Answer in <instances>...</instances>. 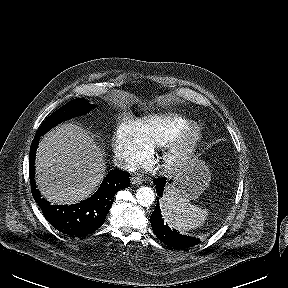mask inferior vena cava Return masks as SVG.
<instances>
[{"instance_id": "602c4592", "label": "inferior vena cava", "mask_w": 288, "mask_h": 288, "mask_svg": "<svg viewBox=\"0 0 288 288\" xmlns=\"http://www.w3.org/2000/svg\"><path fill=\"white\" fill-rule=\"evenodd\" d=\"M114 164L122 170L128 172H134L137 170V164L131 160V158H117L114 160Z\"/></svg>"}]
</instances>
